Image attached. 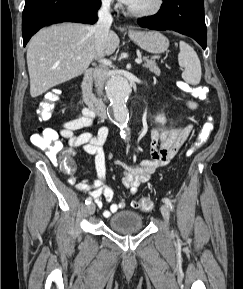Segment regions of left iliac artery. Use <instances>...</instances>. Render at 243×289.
<instances>
[{"mask_svg":"<svg viewBox=\"0 0 243 289\" xmlns=\"http://www.w3.org/2000/svg\"><path fill=\"white\" fill-rule=\"evenodd\" d=\"M163 201L171 210H173L174 207H173V204L169 198H164Z\"/></svg>","mask_w":243,"mask_h":289,"instance_id":"obj_1","label":"left iliac artery"}]
</instances>
